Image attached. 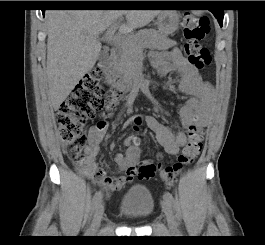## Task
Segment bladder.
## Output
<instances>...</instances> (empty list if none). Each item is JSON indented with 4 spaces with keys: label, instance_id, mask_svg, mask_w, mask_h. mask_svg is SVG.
Segmentation results:
<instances>
[{
    "label": "bladder",
    "instance_id": "bladder-1",
    "mask_svg": "<svg viewBox=\"0 0 265 245\" xmlns=\"http://www.w3.org/2000/svg\"><path fill=\"white\" fill-rule=\"evenodd\" d=\"M154 209V200L144 185H133L124 194L118 207L119 213L134 219H144Z\"/></svg>",
    "mask_w": 265,
    "mask_h": 245
}]
</instances>
